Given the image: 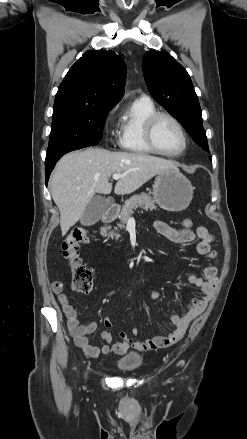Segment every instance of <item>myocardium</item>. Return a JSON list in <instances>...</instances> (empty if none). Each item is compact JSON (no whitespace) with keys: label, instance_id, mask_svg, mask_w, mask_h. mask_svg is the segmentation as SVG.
I'll list each match as a JSON object with an SVG mask.
<instances>
[{"label":"myocardium","instance_id":"obj_1","mask_svg":"<svg viewBox=\"0 0 247 439\" xmlns=\"http://www.w3.org/2000/svg\"><path fill=\"white\" fill-rule=\"evenodd\" d=\"M161 118H167V119L171 120L178 128V130L182 136V140H183L182 147L179 151L173 152V153H168V152L162 151L156 145L155 139H154V129H155V125H156L157 121ZM144 138H145L147 145L154 153H157V154L165 156V157H170V158H174V157H178V156L182 155L186 151L187 146H188V137H187V133H186L183 125L174 115H172L168 112H156L147 119V121L145 123V127H144Z\"/></svg>","mask_w":247,"mask_h":439}]
</instances>
